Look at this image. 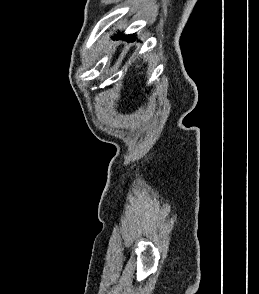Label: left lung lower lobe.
<instances>
[{
	"label": "left lung lower lobe",
	"mask_w": 259,
	"mask_h": 294,
	"mask_svg": "<svg viewBox=\"0 0 259 294\" xmlns=\"http://www.w3.org/2000/svg\"><path fill=\"white\" fill-rule=\"evenodd\" d=\"M116 37L117 38H126L128 41H133L135 39L134 34L122 37V33H120V32L116 35Z\"/></svg>",
	"instance_id": "left-lung-lower-lobe-1"
}]
</instances>
